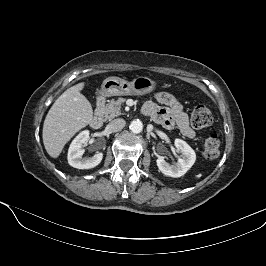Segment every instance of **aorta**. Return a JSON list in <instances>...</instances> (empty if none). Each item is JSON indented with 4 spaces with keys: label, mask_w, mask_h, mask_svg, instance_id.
<instances>
[{
    "label": "aorta",
    "mask_w": 266,
    "mask_h": 266,
    "mask_svg": "<svg viewBox=\"0 0 266 266\" xmlns=\"http://www.w3.org/2000/svg\"><path fill=\"white\" fill-rule=\"evenodd\" d=\"M129 128L133 133L138 134L142 131L143 124L140 120H133Z\"/></svg>",
    "instance_id": "aorta-1"
}]
</instances>
